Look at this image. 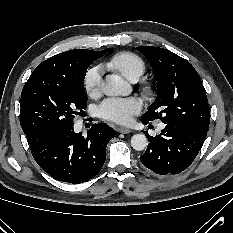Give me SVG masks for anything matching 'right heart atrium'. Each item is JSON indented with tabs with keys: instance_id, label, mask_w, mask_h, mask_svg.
Masks as SVG:
<instances>
[{
	"instance_id": "d8ad5b80",
	"label": "right heart atrium",
	"mask_w": 233,
	"mask_h": 233,
	"mask_svg": "<svg viewBox=\"0 0 233 233\" xmlns=\"http://www.w3.org/2000/svg\"><path fill=\"white\" fill-rule=\"evenodd\" d=\"M102 69L100 67L90 68L84 77V89L91 97H96L101 92Z\"/></svg>"
}]
</instances>
